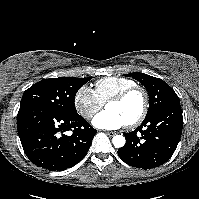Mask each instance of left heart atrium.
Masks as SVG:
<instances>
[{"instance_id": "obj_1", "label": "left heart atrium", "mask_w": 199, "mask_h": 199, "mask_svg": "<svg viewBox=\"0 0 199 199\" xmlns=\"http://www.w3.org/2000/svg\"><path fill=\"white\" fill-rule=\"evenodd\" d=\"M92 123L96 128L104 130H115L126 125V122L118 113L109 110L99 113Z\"/></svg>"}]
</instances>
